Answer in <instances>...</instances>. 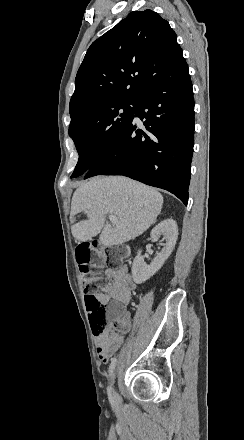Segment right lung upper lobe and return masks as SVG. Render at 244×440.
I'll use <instances>...</instances> for the list:
<instances>
[{
	"instance_id": "cb5924a9",
	"label": "right lung upper lobe",
	"mask_w": 244,
	"mask_h": 440,
	"mask_svg": "<svg viewBox=\"0 0 244 440\" xmlns=\"http://www.w3.org/2000/svg\"><path fill=\"white\" fill-rule=\"evenodd\" d=\"M185 62L166 20L150 9L133 11L89 47L69 111L108 98L139 99L155 75Z\"/></svg>"
}]
</instances>
